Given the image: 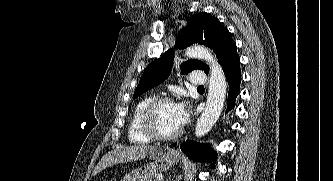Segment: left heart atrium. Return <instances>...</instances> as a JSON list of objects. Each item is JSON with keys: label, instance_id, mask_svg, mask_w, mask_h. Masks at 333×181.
<instances>
[{"label": "left heart atrium", "instance_id": "left-heart-atrium-1", "mask_svg": "<svg viewBox=\"0 0 333 181\" xmlns=\"http://www.w3.org/2000/svg\"><path fill=\"white\" fill-rule=\"evenodd\" d=\"M176 106V119L178 125L181 127L186 124L189 118V112L185 103L180 102L175 104Z\"/></svg>", "mask_w": 333, "mask_h": 181}]
</instances>
